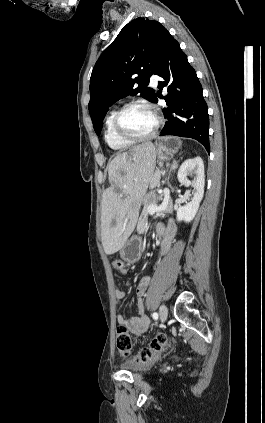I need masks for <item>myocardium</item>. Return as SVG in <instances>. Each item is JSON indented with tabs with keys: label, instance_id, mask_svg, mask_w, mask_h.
<instances>
[{
	"label": "myocardium",
	"instance_id": "myocardium-1",
	"mask_svg": "<svg viewBox=\"0 0 265 423\" xmlns=\"http://www.w3.org/2000/svg\"><path fill=\"white\" fill-rule=\"evenodd\" d=\"M135 107H142V108L147 109L148 111H150L153 114V116L155 118V125H154L153 129L146 135H143V136L131 135L128 132H126L124 130L123 126H122V119H123V116L125 115V113L128 110L135 108ZM161 124H162L161 117L159 116V114L157 113L155 108L151 104H149L145 101H140V100L132 101V102H129V103L125 104L124 106H122L117 111V113L114 117V120H113V128H114L116 135L120 139H122L126 142H130V143H139V142H143V141H147V140L152 139L158 133V131L161 127Z\"/></svg>",
	"mask_w": 265,
	"mask_h": 423
}]
</instances>
